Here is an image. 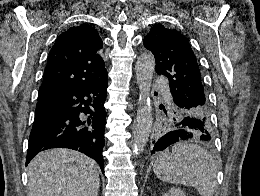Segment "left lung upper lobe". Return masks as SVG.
Masks as SVG:
<instances>
[{"label": "left lung upper lobe", "instance_id": "left-lung-upper-lobe-1", "mask_svg": "<svg viewBox=\"0 0 260 196\" xmlns=\"http://www.w3.org/2000/svg\"><path fill=\"white\" fill-rule=\"evenodd\" d=\"M144 46L156 60L155 70L169 79L171 103L161 105L158 121L152 131L149 147L153 154L155 143L175 130L184 120L203 124L191 138L210 142L213 139L211 109L205 93L196 56L187 38L176 29L155 24L144 38ZM209 137V138H205Z\"/></svg>", "mask_w": 260, "mask_h": 196}]
</instances>
